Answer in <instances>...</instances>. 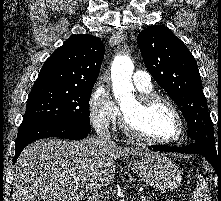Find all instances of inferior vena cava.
Returning a JSON list of instances; mask_svg holds the SVG:
<instances>
[{"label": "inferior vena cava", "mask_w": 221, "mask_h": 201, "mask_svg": "<svg viewBox=\"0 0 221 201\" xmlns=\"http://www.w3.org/2000/svg\"><path fill=\"white\" fill-rule=\"evenodd\" d=\"M97 135H98V139L102 141L103 143L113 144L107 125L100 128V130L97 131Z\"/></svg>", "instance_id": "1"}]
</instances>
